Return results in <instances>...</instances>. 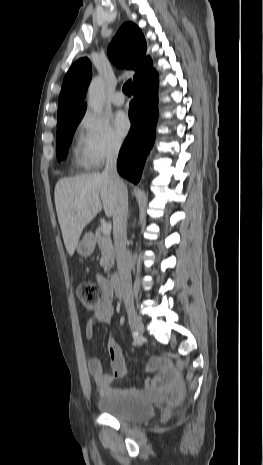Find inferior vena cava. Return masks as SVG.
Here are the masks:
<instances>
[{
    "label": "inferior vena cava",
    "mask_w": 263,
    "mask_h": 465,
    "mask_svg": "<svg viewBox=\"0 0 263 465\" xmlns=\"http://www.w3.org/2000/svg\"><path fill=\"white\" fill-rule=\"evenodd\" d=\"M120 147L121 142H117L109 149L102 175L110 179L117 192V202L113 213L114 248L124 304L126 309H133L131 264L126 250L128 195L126 187L117 173V158Z\"/></svg>",
    "instance_id": "602c4592"
}]
</instances>
